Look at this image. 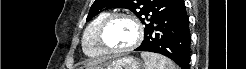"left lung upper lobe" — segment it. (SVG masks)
<instances>
[{
    "instance_id": "5c2ea615",
    "label": "left lung upper lobe",
    "mask_w": 246,
    "mask_h": 69,
    "mask_svg": "<svg viewBox=\"0 0 246 69\" xmlns=\"http://www.w3.org/2000/svg\"><path fill=\"white\" fill-rule=\"evenodd\" d=\"M177 0H95L87 20L109 8H128L141 20L145 29L163 16Z\"/></svg>"
}]
</instances>
